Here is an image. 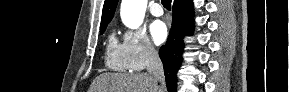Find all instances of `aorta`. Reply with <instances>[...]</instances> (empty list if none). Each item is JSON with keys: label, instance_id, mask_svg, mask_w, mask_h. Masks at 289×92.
<instances>
[{"label": "aorta", "instance_id": "aorta-1", "mask_svg": "<svg viewBox=\"0 0 289 92\" xmlns=\"http://www.w3.org/2000/svg\"><path fill=\"white\" fill-rule=\"evenodd\" d=\"M147 0H122L120 15L125 26L138 28L144 20Z\"/></svg>", "mask_w": 289, "mask_h": 92}]
</instances>
